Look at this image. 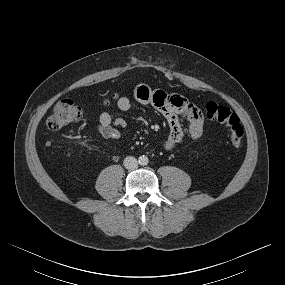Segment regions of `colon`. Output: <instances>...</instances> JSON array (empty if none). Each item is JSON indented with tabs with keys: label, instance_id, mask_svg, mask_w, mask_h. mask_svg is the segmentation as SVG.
I'll use <instances>...</instances> for the list:
<instances>
[{
	"label": "colon",
	"instance_id": "5ec220e1",
	"mask_svg": "<svg viewBox=\"0 0 285 285\" xmlns=\"http://www.w3.org/2000/svg\"><path fill=\"white\" fill-rule=\"evenodd\" d=\"M206 116L223 124L228 138L233 145H240L244 137V129L238 116L227 106L210 102L206 105ZM82 110L72 100L64 99L57 102L47 119V126L52 131L60 130L66 126L80 121Z\"/></svg>",
	"mask_w": 285,
	"mask_h": 285
}]
</instances>
